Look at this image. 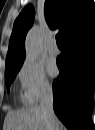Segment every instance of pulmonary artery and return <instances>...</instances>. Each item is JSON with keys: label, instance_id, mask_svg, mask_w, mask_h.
<instances>
[{"label": "pulmonary artery", "instance_id": "obj_1", "mask_svg": "<svg viewBox=\"0 0 95 130\" xmlns=\"http://www.w3.org/2000/svg\"><path fill=\"white\" fill-rule=\"evenodd\" d=\"M48 51L53 55H57L59 53V48L55 41H52L51 44L48 46Z\"/></svg>", "mask_w": 95, "mask_h": 130}]
</instances>
